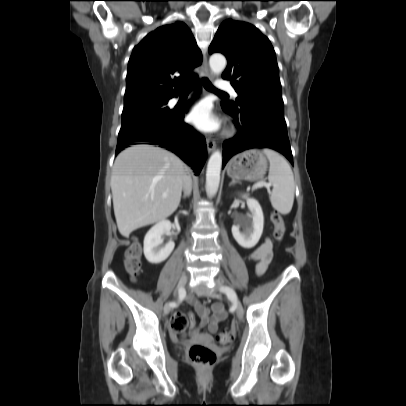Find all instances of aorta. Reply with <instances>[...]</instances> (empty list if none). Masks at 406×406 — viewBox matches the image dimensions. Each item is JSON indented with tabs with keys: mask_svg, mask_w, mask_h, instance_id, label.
Wrapping results in <instances>:
<instances>
[{
	"mask_svg": "<svg viewBox=\"0 0 406 406\" xmlns=\"http://www.w3.org/2000/svg\"><path fill=\"white\" fill-rule=\"evenodd\" d=\"M226 63V58L222 54H213L209 60L211 71L217 76L224 71ZM221 166L222 153L216 150L210 156L206 170V190L210 197L217 193L220 183Z\"/></svg>",
	"mask_w": 406,
	"mask_h": 406,
	"instance_id": "1",
	"label": "aorta"
}]
</instances>
